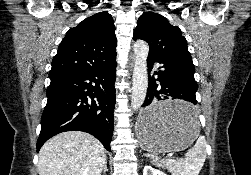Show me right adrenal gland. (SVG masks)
Instances as JSON below:
<instances>
[{"label":"right adrenal gland","mask_w":251,"mask_h":175,"mask_svg":"<svg viewBox=\"0 0 251 175\" xmlns=\"http://www.w3.org/2000/svg\"><path fill=\"white\" fill-rule=\"evenodd\" d=\"M108 169H107V161H105L104 163V167L102 169V173H107Z\"/></svg>","instance_id":"1"}]
</instances>
